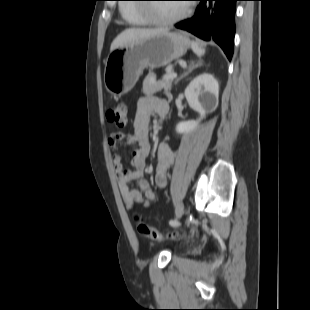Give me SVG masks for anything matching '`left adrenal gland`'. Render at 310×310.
I'll use <instances>...</instances> for the list:
<instances>
[{
  "instance_id": "a2214340",
  "label": "left adrenal gland",
  "mask_w": 310,
  "mask_h": 310,
  "mask_svg": "<svg viewBox=\"0 0 310 310\" xmlns=\"http://www.w3.org/2000/svg\"><path fill=\"white\" fill-rule=\"evenodd\" d=\"M202 65V62L198 61L197 63L195 62H191L190 65H189V68H188V71L186 73H184L183 75H181L176 81H175V85L178 84V82L185 78L186 76H188L194 69L200 67Z\"/></svg>"
}]
</instances>
